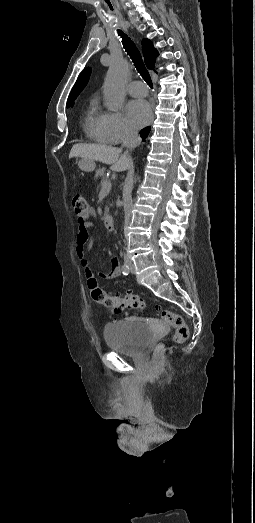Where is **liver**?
I'll return each instance as SVG.
<instances>
[{
    "instance_id": "6515ba94",
    "label": "liver",
    "mask_w": 255,
    "mask_h": 523,
    "mask_svg": "<svg viewBox=\"0 0 255 523\" xmlns=\"http://www.w3.org/2000/svg\"><path fill=\"white\" fill-rule=\"evenodd\" d=\"M120 148H111V146H99V144H75L69 158H84V160H96L102 164H109L113 172H124L130 168L128 158H119Z\"/></svg>"
}]
</instances>
